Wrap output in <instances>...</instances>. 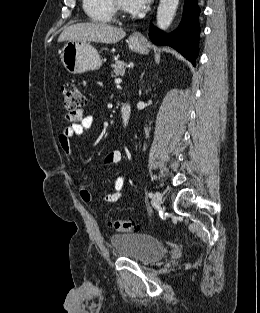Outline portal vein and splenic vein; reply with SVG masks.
Here are the masks:
<instances>
[{
	"label": "portal vein and splenic vein",
	"mask_w": 260,
	"mask_h": 313,
	"mask_svg": "<svg viewBox=\"0 0 260 313\" xmlns=\"http://www.w3.org/2000/svg\"><path fill=\"white\" fill-rule=\"evenodd\" d=\"M121 82H122V80H121L120 78L115 79V83H116V84H119V83H121Z\"/></svg>",
	"instance_id": "obj_1"
}]
</instances>
